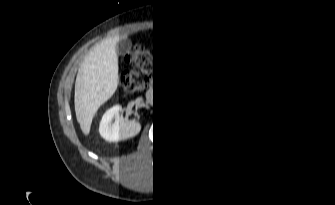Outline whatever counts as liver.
I'll return each instance as SVG.
<instances>
[{
	"label": "liver",
	"instance_id": "obj_1",
	"mask_svg": "<svg viewBox=\"0 0 335 205\" xmlns=\"http://www.w3.org/2000/svg\"><path fill=\"white\" fill-rule=\"evenodd\" d=\"M127 36L116 37L97 46L84 60L75 82V114L81 130L89 135L97 110L118 88V58L114 44Z\"/></svg>",
	"mask_w": 335,
	"mask_h": 205
}]
</instances>
